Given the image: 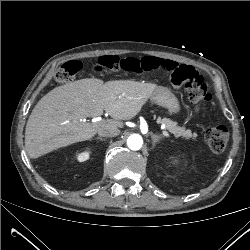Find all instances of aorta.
Returning <instances> with one entry per match:
<instances>
[{
  "mask_svg": "<svg viewBox=\"0 0 250 250\" xmlns=\"http://www.w3.org/2000/svg\"><path fill=\"white\" fill-rule=\"evenodd\" d=\"M142 144V137L138 134H133L127 139V145L131 150H139L142 147Z\"/></svg>",
  "mask_w": 250,
  "mask_h": 250,
  "instance_id": "1",
  "label": "aorta"
}]
</instances>
